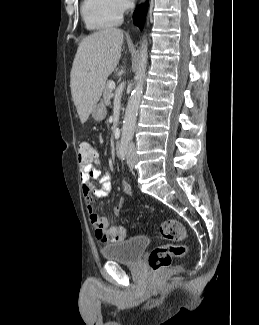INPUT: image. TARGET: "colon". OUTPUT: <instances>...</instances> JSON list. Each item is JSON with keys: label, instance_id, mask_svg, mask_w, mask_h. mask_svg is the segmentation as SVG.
<instances>
[{"label": "colon", "instance_id": "obj_1", "mask_svg": "<svg viewBox=\"0 0 259 325\" xmlns=\"http://www.w3.org/2000/svg\"><path fill=\"white\" fill-rule=\"evenodd\" d=\"M95 155V149L88 140L80 141L78 145V158L80 162H89ZM123 203L119 202L114 211L120 213ZM161 236L172 243L159 245L150 252L148 265L152 271H158L168 266L173 258L182 257L186 254L187 246L184 241L187 238V231L184 225L175 219L164 221L160 225Z\"/></svg>", "mask_w": 259, "mask_h": 325}]
</instances>
